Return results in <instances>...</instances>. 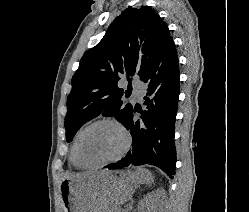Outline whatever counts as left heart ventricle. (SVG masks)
<instances>
[{"instance_id":"1","label":"left heart ventricle","mask_w":249,"mask_h":212,"mask_svg":"<svg viewBox=\"0 0 249 212\" xmlns=\"http://www.w3.org/2000/svg\"><path fill=\"white\" fill-rule=\"evenodd\" d=\"M123 138L116 127L100 125L88 131L78 147L80 159L86 164H96L117 156Z\"/></svg>"}]
</instances>
